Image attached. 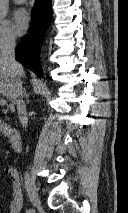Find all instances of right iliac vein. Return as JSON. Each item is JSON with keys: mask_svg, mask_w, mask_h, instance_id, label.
Returning <instances> with one entry per match:
<instances>
[{"mask_svg": "<svg viewBox=\"0 0 128 213\" xmlns=\"http://www.w3.org/2000/svg\"><path fill=\"white\" fill-rule=\"evenodd\" d=\"M25 188L27 190L28 196L33 206L39 207L41 205V201L37 194L35 182L28 173H26L25 175Z\"/></svg>", "mask_w": 128, "mask_h": 213, "instance_id": "63e3f726", "label": "right iliac vein"}]
</instances>
